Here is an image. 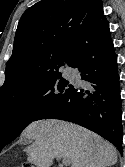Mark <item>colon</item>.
Instances as JSON below:
<instances>
[{"label": "colon", "mask_w": 125, "mask_h": 167, "mask_svg": "<svg viewBox=\"0 0 125 167\" xmlns=\"http://www.w3.org/2000/svg\"><path fill=\"white\" fill-rule=\"evenodd\" d=\"M21 167H33L30 163H23Z\"/></svg>", "instance_id": "5ec220e1"}]
</instances>
